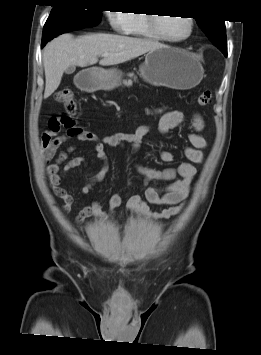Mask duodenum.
<instances>
[{
    "mask_svg": "<svg viewBox=\"0 0 261 355\" xmlns=\"http://www.w3.org/2000/svg\"><path fill=\"white\" fill-rule=\"evenodd\" d=\"M80 87L81 88H88L89 85H87L86 83L82 82V83H80Z\"/></svg>",
    "mask_w": 261,
    "mask_h": 355,
    "instance_id": "duodenum-1",
    "label": "duodenum"
}]
</instances>
